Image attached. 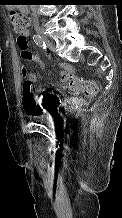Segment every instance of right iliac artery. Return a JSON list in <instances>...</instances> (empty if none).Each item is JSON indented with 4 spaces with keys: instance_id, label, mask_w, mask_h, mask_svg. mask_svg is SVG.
Here are the masks:
<instances>
[{
    "instance_id": "right-iliac-artery-1",
    "label": "right iliac artery",
    "mask_w": 122,
    "mask_h": 218,
    "mask_svg": "<svg viewBox=\"0 0 122 218\" xmlns=\"http://www.w3.org/2000/svg\"><path fill=\"white\" fill-rule=\"evenodd\" d=\"M33 40H34V42H35L39 47H41L43 50L46 49V44H45V42L43 41V39L41 38V36H39V35H34V36H33Z\"/></svg>"
}]
</instances>
